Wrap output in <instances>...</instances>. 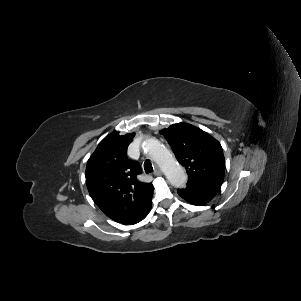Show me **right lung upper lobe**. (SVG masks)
<instances>
[{
  "instance_id": "cb5924a9",
  "label": "right lung upper lobe",
  "mask_w": 301,
  "mask_h": 301,
  "mask_svg": "<svg viewBox=\"0 0 301 301\" xmlns=\"http://www.w3.org/2000/svg\"><path fill=\"white\" fill-rule=\"evenodd\" d=\"M134 133L111 134L103 139L86 166V184L95 204L111 219L128 224L153 195V185L136 180L141 170L127 159V147Z\"/></svg>"
}]
</instances>
